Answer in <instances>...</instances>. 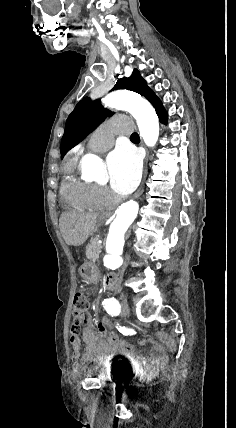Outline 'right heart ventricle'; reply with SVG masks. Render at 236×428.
<instances>
[{"label": "right heart ventricle", "mask_w": 236, "mask_h": 428, "mask_svg": "<svg viewBox=\"0 0 236 428\" xmlns=\"http://www.w3.org/2000/svg\"><path fill=\"white\" fill-rule=\"evenodd\" d=\"M84 159L82 152L74 154L61 181L60 195L69 207L94 211L102 207L104 200L99 187L79 174Z\"/></svg>", "instance_id": "e07e8e85"}]
</instances>
